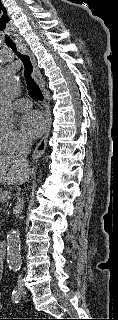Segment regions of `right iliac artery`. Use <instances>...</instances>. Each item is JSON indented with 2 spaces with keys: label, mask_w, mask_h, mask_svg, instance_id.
Segmentation results:
<instances>
[{
  "label": "right iliac artery",
  "mask_w": 118,
  "mask_h": 320,
  "mask_svg": "<svg viewBox=\"0 0 118 320\" xmlns=\"http://www.w3.org/2000/svg\"><path fill=\"white\" fill-rule=\"evenodd\" d=\"M12 300L13 302L15 303H18L20 298H21V294H20V290L18 288H15L13 291H12Z\"/></svg>",
  "instance_id": "right-iliac-artery-1"
}]
</instances>
